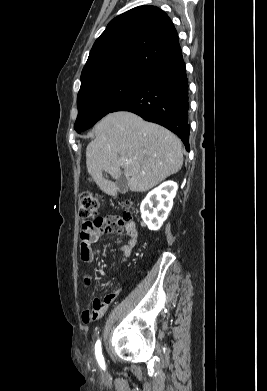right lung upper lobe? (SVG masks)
<instances>
[{"label": "right lung upper lobe", "mask_w": 267, "mask_h": 391, "mask_svg": "<svg viewBox=\"0 0 267 391\" xmlns=\"http://www.w3.org/2000/svg\"><path fill=\"white\" fill-rule=\"evenodd\" d=\"M182 56L176 29L161 9L139 6L114 18L95 41L81 85L105 73L154 68Z\"/></svg>", "instance_id": "right-lung-upper-lobe-1"}]
</instances>
